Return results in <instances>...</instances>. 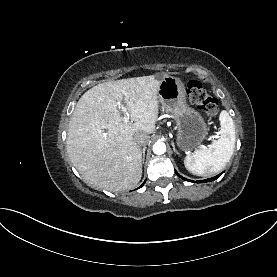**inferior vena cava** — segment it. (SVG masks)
Listing matches in <instances>:
<instances>
[{
    "label": "inferior vena cava",
    "instance_id": "obj_1",
    "mask_svg": "<svg viewBox=\"0 0 277 277\" xmlns=\"http://www.w3.org/2000/svg\"><path fill=\"white\" fill-rule=\"evenodd\" d=\"M135 142L140 146H146L149 142V136L145 133H138L134 137Z\"/></svg>",
    "mask_w": 277,
    "mask_h": 277
}]
</instances>
